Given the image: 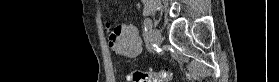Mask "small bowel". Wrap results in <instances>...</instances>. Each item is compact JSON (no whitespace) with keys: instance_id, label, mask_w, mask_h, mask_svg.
I'll return each mask as SVG.
<instances>
[{"instance_id":"small-bowel-1","label":"small bowel","mask_w":279,"mask_h":82,"mask_svg":"<svg viewBox=\"0 0 279 82\" xmlns=\"http://www.w3.org/2000/svg\"><path fill=\"white\" fill-rule=\"evenodd\" d=\"M103 27L110 28L109 23H103ZM109 46L113 52L122 57L133 58L141 52V40L134 25H122L114 27L109 33Z\"/></svg>"}]
</instances>
